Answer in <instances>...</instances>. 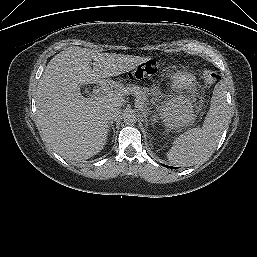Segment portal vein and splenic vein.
I'll return each mask as SVG.
<instances>
[{"mask_svg":"<svg viewBox=\"0 0 257 257\" xmlns=\"http://www.w3.org/2000/svg\"><path fill=\"white\" fill-rule=\"evenodd\" d=\"M103 97H104V95H97V96H95V99L98 100V99H101ZM136 106H137V102H136Z\"/></svg>","mask_w":257,"mask_h":257,"instance_id":"1","label":"portal vein and splenic vein"}]
</instances>
